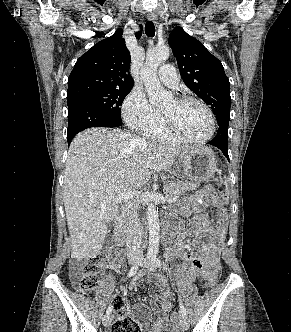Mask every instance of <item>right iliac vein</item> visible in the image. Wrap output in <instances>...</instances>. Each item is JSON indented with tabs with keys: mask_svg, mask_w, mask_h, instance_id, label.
Segmentation results:
<instances>
[{
	"mask_svg": "<svg viewBox=\"0 0 291 332\" xmlns=\"http://www.w3.org/2000/svg\"><path fill=\"white\" fill-rule=\"evenodd\" d=\"M137 261H138V259L136 257H133V256L128 259V262L131 265H134L135 263H137ZM111 320H112L111 315L110 314H106L103 317V325L104 326H108L111 323Z\"/></svg>",
	"mask_w": 291,
	"mask_h": 332,
	"instance_id": "1",
	"label": "right iliac vein"
}]
</instances>
